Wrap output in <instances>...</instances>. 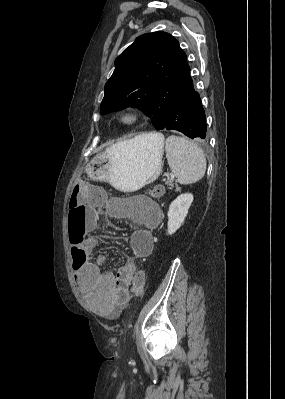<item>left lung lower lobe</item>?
Returning a JSON list of instances; mask_svg holds the SVG:
<instances>
[{
    "label": "left lung lower lobe",
    "mask_w": 285,
    "mask_h": 399,
    "mask_svg": "<svg viewBox=\"0 0 285 399\" xmlns=\"http://www.w3.org/2000/svg\"><path fill=\"white\" fill-rule=\"evenodd\" d=\"M162 130L179 131L190 138L206 139L205 112L190 79L174 98Z\"/></svg>",
    "instance_id": "left-lung-lower-lobe-1"
}]
</instances>
